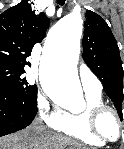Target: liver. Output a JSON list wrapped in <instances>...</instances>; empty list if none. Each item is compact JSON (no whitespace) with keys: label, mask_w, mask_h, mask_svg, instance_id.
<instances>
[{"label":"liver","mask_w":124,"mask_h":149,"mask_svg":"<svg viewBox=\"0 0 124 149\" xmlns=\"http://www.w3.org/2000/svg\"><path fill=\"white\" fill-rule=\"evenodd\" d=\"M87 149L77 141L47 132L43 127H30L21 132L0 138V149Z\"/></svg>","instance_id":"liver-1"}]
</instances>
